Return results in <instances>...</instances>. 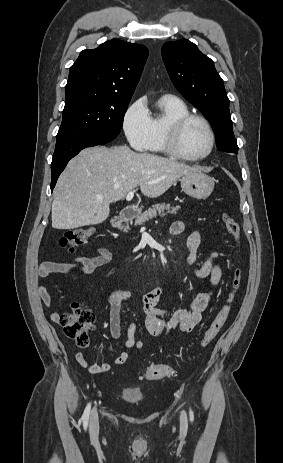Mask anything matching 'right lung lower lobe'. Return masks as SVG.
I'll list each match as a JSON object with an SVG mask.
<instances>
[{"label": "right lung lower lobe", "mask_w": 283, "mask_h": 463, "mask_svg": "<svg viewBox=\"0 0 283 463\" xmlns=\"http://www.w3.org/2000/svg\"><path fill=\"white\" fill-rule=\"evenodd\" d=\"M115 135L87 134L56 142L54 156L51 164L52 180L51 190L55 187L60 173L68 161L76 156L82 149L96 145H103L113 140Z\"/></svg>", "instance_id": "98d812e1"}]
</instances>
